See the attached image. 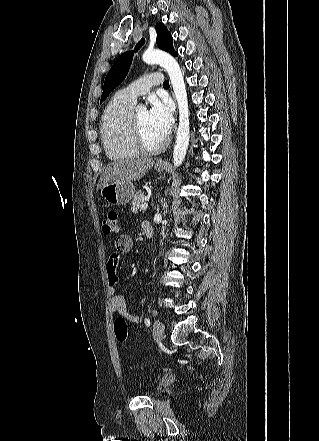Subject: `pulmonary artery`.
<instances>
[{
	"label": "pulmonary artery",
	"mask_w": 319,
	"mask_h": 441,
	"mask_svg": "<svg viewBox=\"0 0 319 441\" xmlns=\"http://www.w3.org/2000/svg\"><path fill=\"white\" fill-rule=\"evenodd\" d=\"M163 83L161 73H151L137 79L122 89L119 94L123 98L135 103L139 96L146 94L153 86L163 85Z\"/></svg>",
	"instance_id": "pulmonary-artery-1"
}]
</instances>
